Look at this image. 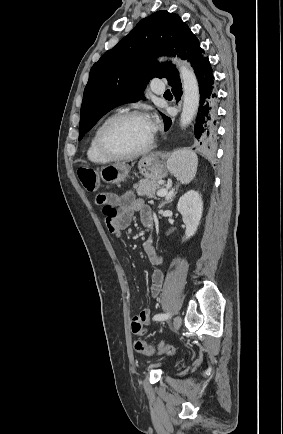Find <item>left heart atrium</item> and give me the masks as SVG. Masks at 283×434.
<instances>
[{"instance_id":"left-heart-atrium-1","label":"left heart atrium","mask_w":283,"mask_h":434,"mask_svg":"<svg viewBox=\"0 0 283 434\" xmlns=\"http://www.w3.org/2000/svg\"><path fill=\"white\" fill-rule=\"evenodd\" d=\"M148 124H149V128L152 132V134L155 132L156 130V122L153 119H148Z\"/></svg>"}]
</instances>
